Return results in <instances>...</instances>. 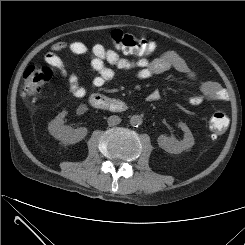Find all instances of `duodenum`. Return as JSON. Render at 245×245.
Instances as JSON below:
<instances>
[{
	"instance_id": "obj_1",
	"label": "duodenum",
	"mask_w": 245,
	"mask_h": 245,
	"mask_svg": "<svg viewBox=\"0 0 245 245\" xmlns=\"http://www.w3.org/2000/svg\"><path fill=\"white\" fill-rule=\"evenodd\" d=\"M89 102L93 107L109 111L122 112L128 109V105L123 101L112 99L99 93L92 94Z\"/></svg>"
}]
</instances>
